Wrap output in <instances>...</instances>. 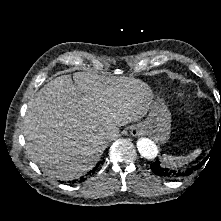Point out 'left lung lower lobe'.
<instances>
[{
  "instance_id": "1",
  "label": "left lung lower lobe",
  "mask_w": 221,
  "mask_h": 221,
  "mask_svg": "<svg viewBox=\"0 0 221 221\" xmlns=\"http://www.w3.org/2000/svg\"><path fill=\"white\" fill-rule=\"evenodd\" d=\"M202 166V163L198 164L197 166H193L186 170H173L161 164L159 160H155L151 165V170L154 174L161 176V177H168V178H178L183 177L186 175H190L194 170L199 169Z\"/></svg>"
}]
</instances>
